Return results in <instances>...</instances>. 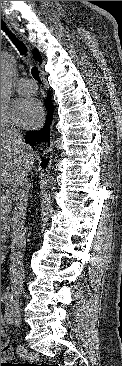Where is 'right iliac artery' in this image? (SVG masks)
Returning <instances> with one entry per match:
<instances>
[{"mask_svg": "<svg viewBox=\"0 0 122 366\" xmlns=\"http://www.w3.org/2000/svg\"><path fill=\"white\" fill-rule=\"evenodd\" d=\"M12 299V297H10L9 295H4L3 297H1V301H4L6 303L10 302Z\"/></svg>", "mask_w": 122, "mask_h": 366, "instance_id": "1", "label": "right iliac artery"}]
</instances>
